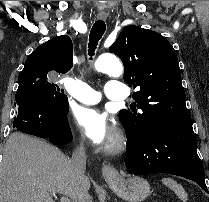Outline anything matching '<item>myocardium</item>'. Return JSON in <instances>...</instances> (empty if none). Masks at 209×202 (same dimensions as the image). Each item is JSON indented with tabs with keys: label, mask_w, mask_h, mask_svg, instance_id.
Segmentation results:
<instances>
[{
	"label": "myocardium",
	"mask_w": 209,
	"mask_h": 202,
	"mask_svg": "<svg viewBox=\"0 0 209 202\" xmlns=\"http://www.w3.org/2000/svg\"><path fill=\"white\" fill-rule=\"evenodd\" d=\"M126 145L125 136L121 131H118L115 136L109 141L105 147V151L109 154L121 152Z\"/></svg>",
	"instance_id": "1"
}]
</instances>
